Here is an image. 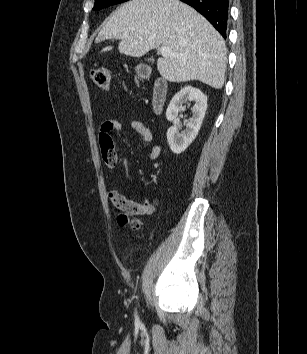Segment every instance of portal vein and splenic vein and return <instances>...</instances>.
Returning a JSON list of instances; mask_svg holds the SVG:
<instances>
[{"mask_svg":"<svg viewBox=\"0 0 307 354\" xmlns=\"http://www.w3.org/2000/svg\"><path fill=\"white\" fill-rule=\"evenodd\" d=\"M159 51L163 57H170V56L178 57L179 56L177 53L172 52L168 46H162Z\"/></svg>","mask_w":307,"mask_h":354,"instance_id":"portal-vein-and-splenic-vein-1","label":"portal vein and splenic vein"}]
</instances>
